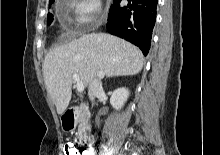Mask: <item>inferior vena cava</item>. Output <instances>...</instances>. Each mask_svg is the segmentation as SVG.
<instances>
[{"mask_svg":"<svg viewBox=\"0 0 220 155\" xmlns=\"http://www.w3.org/2000/svg\"><path fill=\"white\" fill-rule=\"evenodd\" d=\"M101 92H103L101 78L95 77L89 86L88 95L90 100L93 102L95 97Z\"/></svg>","mask_w":220,"mask_h":155,"instance_id":"602c4592","label":"inferior vena cava"}]
</instances>
